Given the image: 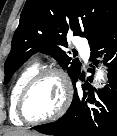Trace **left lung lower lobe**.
Here are the masks:
<instances>
[{
    "instance_id": "0a47b994",
    "label": "left lung lower lobe",
    "mask_w": 117,
    "mask_h": 136,
    "mask_svg": "<svg viewBox=\"0 0 117 136\" xmlns=\"http://www.w3.org/2000/svg\"><path fill=\"white\" fill-rule=\"evenodd\" d=\"M104 48L102 51L99 49ZM91 59L99 54H105L109 61L108 85L97 92V96L89 94L87 102L86 87L91 91L86 82L83 88L84 97L78 95L76 88L71 106L57 121L33 127L38 132L54 136H117V19L107 28L102 36L90 45ZM79 75L72 83L73 87ZM92 78H90V81Z\"/></svg>"
}]
</instances>
